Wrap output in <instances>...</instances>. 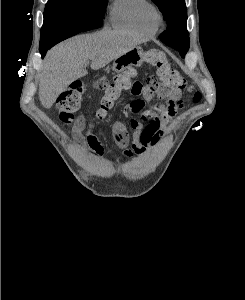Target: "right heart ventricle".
<instances>
[{
    "label": "right heart ventricle",
    "instance_id": "obj_1",
    "mask_svg": "<svg viewBox=\"0 0 245 300\" xmlns=\"http://www.w3.org/2000/svg\"><path fill=\"white\" fill-rule=\"evenodd\" d=\"M154 12L149 0H114L109 20L117 30L152 35L158 29V24L152 20Z\"/></svg>",
    "mask_w": 245,
    "mask_h": 300
}]
</instances>
